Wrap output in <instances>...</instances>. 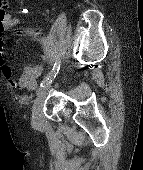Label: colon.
<instances>
[{
  "label": "colon",
  "instance_id": "colon-1",
  "mask_svg": "<svg viewBox=\"0 0 143 170\" xmlns=\"http://www.w3.org/2000/svg\"><path fill=\"white\" fill-rule=\"evenodd\" d=\"M7 0H0V17L6 15Z\"/></svg>",
  "mask_w": 143,
  "mask_h": 170
}]
</instances>
